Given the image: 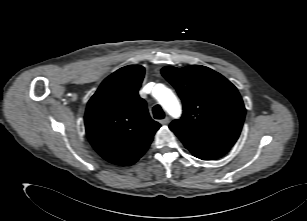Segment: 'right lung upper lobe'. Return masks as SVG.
<instances>
[{
    "label": "right lung upper lobe",
    "mask_w": 307,
    "mask_h": 221,
    "mask_svg": "<svg viewBox=\"0 0 307 221\" xmlns=\"http://www.w3.org/2000/svg\"><path fill=\"white\" fill-rule=\"evenodd\" d=\"M144 72L140 65L117 70L101 83L87 104V137L96 152L112 164H134L160 128L138 95Z\"/></svg>",
    "instance_id": "1"
}]
</instances>
